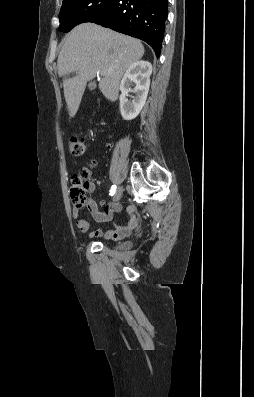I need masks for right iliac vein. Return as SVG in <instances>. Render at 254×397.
I'll list each match as a JSON object with an SVG mask.
<instances>
[{
  "label": "right iliac vein",
  "instance_id": "1",
  "mask_svg": "<svg viewBox=\"0 0 254 397\" xmlns=\"http://www.w3.org/2000/svg\"><path fill=\"white\" fill-rule=\"evenodd\" d=\"M122 193H123L122 187H118V189L114 194L113 201L118 202L121 199Z\"/></svg>",
  "mask_w": 254,
  "mask_h": 397
}]
</instances>
